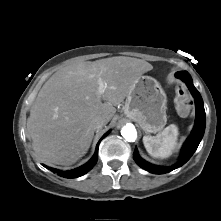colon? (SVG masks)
I'll use <instances>...</instances> for the list:
<instances>
[{
    "label": "colon",
    "instance_id": "1",
    "mask_svg": "<svg viewBox=\"0 0 221 221\" xmlns=\"http://www.w3.org/2000/svg\"><path fill=\"white\" fill-rule=\"evenodd\" d=\"M175 103L179 114L185 116L189 113L191 108V100L182 85H178L176 88Z\"/></svg>",
    "mask_w": 221,
    "mask_h": 221
}]
</instances>
